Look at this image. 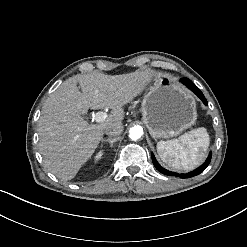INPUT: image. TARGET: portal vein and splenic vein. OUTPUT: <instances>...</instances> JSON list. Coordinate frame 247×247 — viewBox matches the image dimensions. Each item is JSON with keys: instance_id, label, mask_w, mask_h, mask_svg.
Segmentation results:
<instances>
[{"instance_id": "obj_1", "label": "portal vein and splenic vein", "mask_w": 247, "mask_h": 247, "mask_svg": "<svg viewBox=\"0 0 247 247\" xmlns=\"http://www.w3.org/2000/svg\"><path fill=\"white\" fill-rule=\"evenodd\" d=\"M108 117L106 112H97L96 114L92 115V119L96 122H103Z\"/></svg>"}]
</instances>
